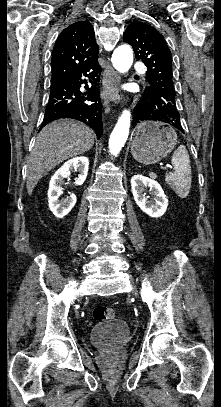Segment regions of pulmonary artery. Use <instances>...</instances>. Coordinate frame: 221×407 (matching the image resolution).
<instances>
[{
  "instance_id": "e3ab8cb5",
  "label": "pulmonary artery",
  "mask_w": 221,
  "mask_h": 407,
  "mask_svg": "<svg viewBox=\"0 0 221 407\" xmlns=\"http://www.w3.org/2000/svg\"><path fill=\"white\" fill-rule=\"evenodd\" d=\"M135 69H136L137 71H139V72H144V71H145V67H144L143 64H137V65L135 66Z\"/></svg>"
}]
</instances>
